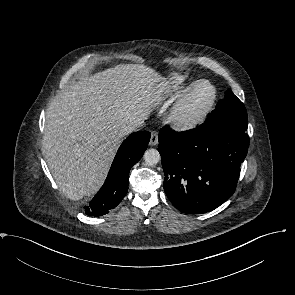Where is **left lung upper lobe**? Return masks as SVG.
I'll list each match as a JSON object with an SVG mask.
<instances>
[{"mask_svg":"<svg viewBox=\"0 0 295 295\" xmlns=\"http://www.w3.org/2000/svg\"><path fill=\"white\" fill-rule=\"evenodd\" d=\"M247 111L243 103L228 89L225 96L216 105L207 122H221L247 129Z\"/></svg>","mask_w":295,"mask_h":295,"instance_id":"1","label":"left lung upper lobe"}]
</instances>
